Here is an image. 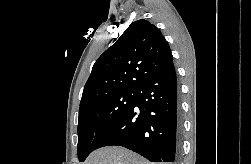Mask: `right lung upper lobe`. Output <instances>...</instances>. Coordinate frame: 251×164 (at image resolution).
<instances>
[{
    "label": "right lung upper lobe",
    "instance_id": "right-lung-upper-lobe-1",
    "mask_svg": "<svg viewBox=\"0 0 251 164\" xmlns=\"http://www.w3.org/2000/svg\"><path fill=\"white\" fill-rule=\"evenodd\" d=\"M172 63L171 50L160 30L147 20L135 21L93 65L80 107L108 93L138 89L144 80Z\"/></svg>",
    "mask_w": 251,
    "mask_h": 164
}]
</instances>
